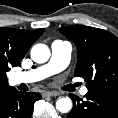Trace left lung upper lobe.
<instances>
[{"label":"left lung upper lobe","instance_id":"5c2ea615","mask_svg":"<svg viewBox=\"0 0 118 118\" xmlns=\"http://www.w3.org/2000/svg\"><path fill=\"white\" fill-rule=\"evenodd\" d=\"M59 31L77 47L74 75L86 81L88 92L118 97V38L84 25L66 26Z\"/></svg>","mask_w":118,"mask_h":118}]
</instances>
